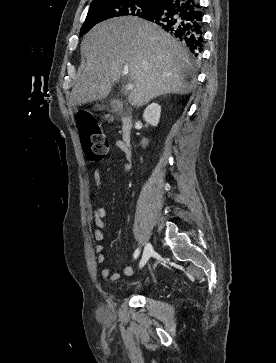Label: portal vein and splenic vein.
Segmentation results:
<instances>
[{"label": "portal vein and splenic vein", "instance_id": "1", "mask_svg": "<svg viewBox=\"0 0 276 363\" xmlns=\"http://www.w3.org/2000/svg\"><path fill=\"white\" fill-rule=\"evenodd\" d=\"M133 88H134V85L133 84H130L129 83V84L126 85V89L127 90H132Z\"/></svg>", "mask_w": 276, "mask_h": 363}]
</instances>
